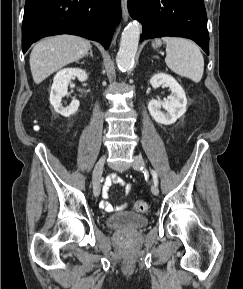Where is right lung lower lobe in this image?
I'll return each mask as SVG.
<instances>
[{
    "mask_svg": "<svg viewBox=\"0 0 243 289\" xmlns=\"http://www.w3.org/2000/svg\"><path fill=\"white\" fill-rule=\"evenodd\" d=\"M121 17L120 0H26L22 50L45 36L72 34L108 49Z\"/></svg>",
    "mask_w": 243,
    "mask_h": 289,
    "instance_id": "obj_1",
    "label": "right lung lower lobe"
}]
</instances>
